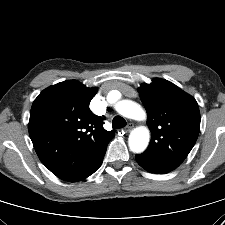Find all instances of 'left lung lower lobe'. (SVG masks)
<instances>
[{"instance_id": "obj_1", "label": "left lung lower lobe", "mask_w": 225, "mask_h": 225, "mask_svg": "<svg viewBox=\"0 0 225 225\" xmlns=\"http://www.w3.org/2000/svg\"><path fill=\"white\" fill-rule=\"evenodd\" d=\"M135 158L138 164L150 173L165 174L174 170V168L161 164L142 154L136 155Z\"/></svg>"}]
</instances>
